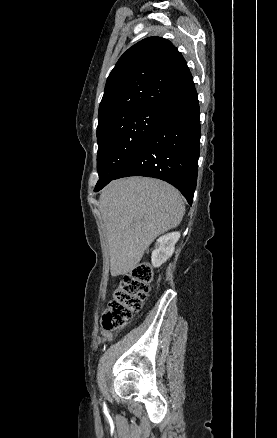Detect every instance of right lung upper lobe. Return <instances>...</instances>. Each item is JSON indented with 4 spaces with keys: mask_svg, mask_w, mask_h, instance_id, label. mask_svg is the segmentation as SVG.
<instances>
[{
    "mask_svg": "<svg viewBox=\"0 0 277 438\" xmlns=\"http://www.w3.org/2000/svg\"><path fill=\"white\" fill-rule=\"evenodd\" d=\"M193 88L192 75L177 48L167 39L149 37L129 48L111 71L98 118L164 111Z\"/></svg>",
    "mask_w": 277,
    "mask_h": 438,
    "instance_id": "right-lung-upper-lobe-1",
    "label": "right lung upper lobe"
}]
</instances>
